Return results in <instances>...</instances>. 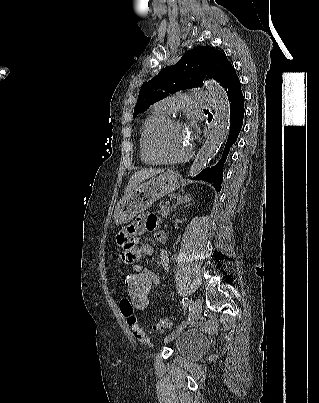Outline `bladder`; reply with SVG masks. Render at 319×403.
I'll use <instances>...</instances> for the list:
<instances>
[{"instance_id": "1", "label": "bladder", "mask_w": 319, "mask_h": 403, "mask_svg": "<svg viewBox=\"0 0 319 403\" xmlns=\"http://www.w3.org/2000/svg\"><path fill=\"white\" fill-rule=\"evenodd\" d=\"M175 338L173 352L177 356L196 359L205 349V338L200 333H179Z\"/></svg>"}]
</instances>
